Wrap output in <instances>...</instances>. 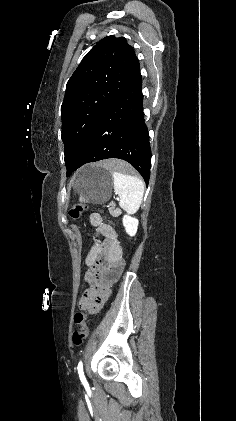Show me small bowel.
<instances>
[{
  "instance_id": "small-bowel-1",
  "label": "small bowel",
  "mask_w": 236,
  "mask_h": 421,
  "mask_svg": "<svg viewBox=\"0 0 236 421\" xmlns=\"http://www.w3.org/2000/svg\"><path fill=\"white\" fill-rule=\"evenodd\" d=\"M90 223L92 226H94L96 230V234L103 236L106 238V244H112L115 247L119 248V243L117 241V234L115 230L108 224H105L102 220V217L98 213H92L90 215ZM96 252V248L92 249L87 257L88 262L92 263L94 259V255ZM87 299L84 300V302L81 303V305H85L87 302Z\"/></svg>"
}]
</instances>
